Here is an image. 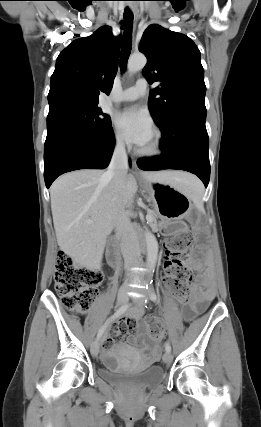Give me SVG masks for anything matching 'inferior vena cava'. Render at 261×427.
<instances>
[{
	"label": "inferior vena cava",
	"instance_id": "inferior-vena-cava-1",
	"mask_svg": "<svg viewBox=\"0 0 261 427\" xmlns=\"http://www.w3.org/2000/svg\"><path fill=\"white\" fill-rule=\"evenodd\" d=\"M128 158L123 142H118L105 172L106 177L113 179L118 188L123 187L128 171ZM115 228L117 235L121 238V252L125 262L128 278H132L130 268L138 263L140 252L137 235L133 230L130 218L124 210H119L116 216Z\"/></svg>",
	"mask_w": 261,
	"mask_h": 427
}]
</instances>
